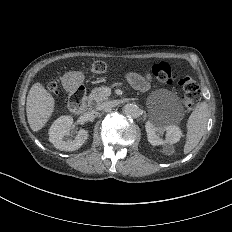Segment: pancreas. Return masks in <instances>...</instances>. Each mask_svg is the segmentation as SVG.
<instances>
[{"label":"pancreas","mask_w":232,"mask_h":232,"mask_svg":"<svg viewBox=\"0 0 232 232\" xmlns=\"http://www.w3.org/2000/svg\"><path fill=\"white\" fill-rule=\"evenodd\" d=\"M106 88L107 87L102 85L92 89L91 93L86 98L89 107L100 104L108 98L107 94L105 93Z\"/></svg>","instance_id":"obj_1"}]
</instances>
